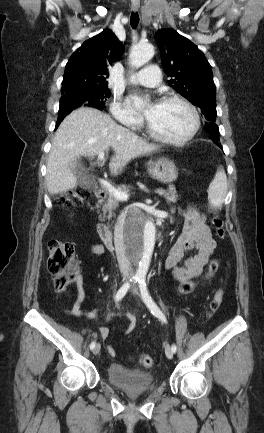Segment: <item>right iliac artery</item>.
<instances>
[{
  "mask_svg": "<svg viewBox=\"0 0 264 433\" xmlns=\"http://www.w3.org/2000/svg\"><path fill=\"white\" fill-rule=\"evenodd\" d=\"M138 281V278L137 277H132L128 282H126L119 290H118V292H117V294H116V296H115V301L117 302V301H120L124 296H125V294L127 293V291L129 290V288H130V285H131V283H135V282H137ZM95 345H96V343L93 341V342H91V344H90V349L91 350H93L94 349V347H95Z\"/></svg>",
  "mask_w": 264,
  "mask_h": 433,
  "instance_id": "82829eb1",
  "label": "right iliac artery"
}]
</instances>
